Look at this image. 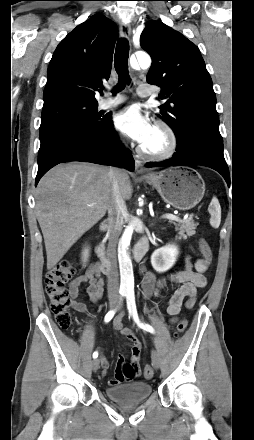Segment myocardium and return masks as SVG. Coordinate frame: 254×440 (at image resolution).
<instances>
[{
  "mask_svg": "<svg viewBox=\"0 0 254 440\" xmlns=\"http://www.w3.org/2000/svg\"><path fill=\"white\" fill-rule=\"evenodd\" d=\"M155 129L160 130L166 137L164 148L159 151H148L143 146H140L138 152L143 157L152 160H165L172 157L178 147V139L174 129L163 120L156 121Z\"/></svg>",
  "mask_w": 254,
  "mask_h": 440,
  "instance_id": "myocardium-1",
  "label": "myocardium"
}]
</instances>
